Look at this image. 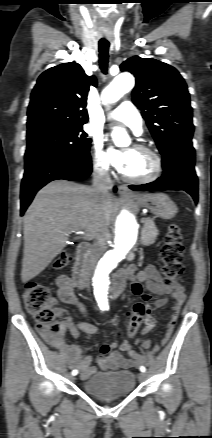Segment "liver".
<instances>
[{"instance_id": "1", "label": "liver", "mask_w": 212, "mask_h": 438, "mask_svg": "<svg viewBox=\"0 0 212 438\" xmlns=\"http://www.w3.org/2000/svg\"><path fill=\"white\" fill-rule=\"evenodd\" d=\"M114 209L111 195L98 199L91 187L55 180L35 196L24 216L22 282L40 274L61 253L68 232L85 238L107 233Z\"/></svg>"}]
</instances>
